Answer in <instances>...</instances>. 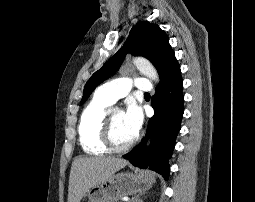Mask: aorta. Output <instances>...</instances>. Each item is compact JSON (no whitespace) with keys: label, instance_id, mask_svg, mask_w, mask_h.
I'll list each match as a JSON object with an SVG mask.
<instances>
[{"label":"aorta","instance_id":"aorta-1","mask_svg":"<svg viewBox=\"0 0 255 202\" xmlns=\"http://www.w3.org/2000/svg\"><path fill=\"white\" fill-rule=\"evenodd\" d=\"M133 64L137 67V69L150 80L155 82H159V75L154 66L143 57H135L133 59Z\"/></svg>","mask_w":255,"mask_h":202}]
</instances>
